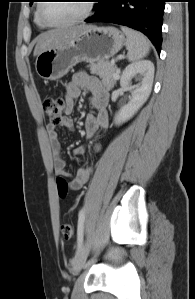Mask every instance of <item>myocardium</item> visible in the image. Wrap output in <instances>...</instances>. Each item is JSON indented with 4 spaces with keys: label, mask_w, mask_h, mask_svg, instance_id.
Segmentation results:
<instances>
[{
    "label": "myocardium",
    "mask_w": 195,
    "mask_h": 299,
    "mask_svg": "<svg viewBox=\"0 0 195 299\" xmlns=\"http://www.w3.org/2000/svg\"><path fill=\"white\" fill-rule=\"evenodd\" d=\"M45 3H39L38 6H37V15H38V18L39 20L46 26L48 27H65V26H69V25H73V24H76V23H79V22H82L84 20H86L93 12L94 10V3L92 0H86V7H85V10L84 12L73 18V19H70L68 21H65V22H60V23H55V22H51L49 21L43 14V6H44Z\"/></svg>",
    "instance_id": "f54148a6"
}]
</instances>
